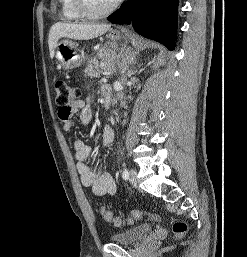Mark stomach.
Listing matches in <instances>:
<instances>
[{
	"instance_id": "1",
	"label": "stomach",
	"mask_w": 247,
	"mask_h": 257,
	"mask_svg": "<svg viewBox=\"0 0 247 257\" xmlns=\"http://www.w3.org/2000/svg\"><path fill=\"white\" fill-rule=\"evenodd\" d=\"M108 42L102 46L101 59L111 60L114 65L127 68L135 60V53L128 47L129 36L123 31L113 30L108 35ZM77 44L71 40H62L57 44L56 58L65 69L79 67L84 56L78 53Z\"/></svg>"
}]
</instances>
